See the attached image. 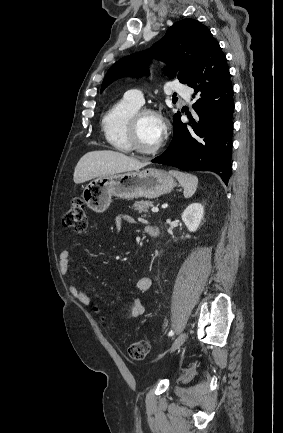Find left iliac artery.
Here are the masks:
<instances>
[{"instance_id": "left-iliac-artery-1", "label": "left iliac artery", "mask_w": 283, "mask_h": 433, "mask_svg": "<svg viewBox=\"0 0 283 433\" xmlns=\"http://www.w3.org/2000/svg\"><path fill=\"white\" fill-rule=\"evenodd\" d=\"M174 335V331H170L169 333H168V336H173Z\"/></svg>"}]
</instances>
